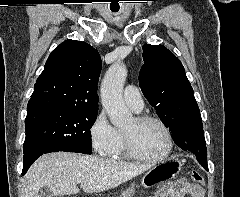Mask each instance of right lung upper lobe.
Returning a JSON list of instances; mask_svg holds the SVG:
<instances>
[{
    "mask_svg": "<svg viewBox=\"0 0 240 197\" xmlns=\"http://www.w3.org/2000/svg\"><path fill=\"white\" fill-rule=\"evenodd\" d=\"M101 57L85 42L66 40L49 55L27 112L44 108L98 109Z\"/></svg>",
    "mask_w": 240,
    "mask_h": 197,
    "instance_id": "right-lung-upper-lobe-1",
    "label": "right lung upper lobe"
}]
</instances>
